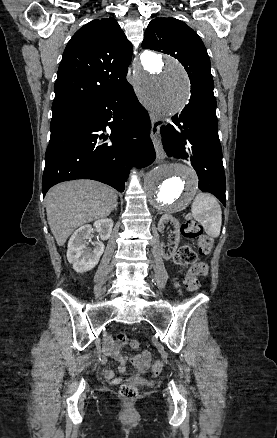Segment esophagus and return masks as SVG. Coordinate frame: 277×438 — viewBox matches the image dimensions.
<instances>
[{"label":"esophagus","mask_w":277,"mask_h":438,"mask_svg":"<svg viewBox=\"0 0 277 438\" xmlns=\"http://www.w3.org/2000/svg\"><path fill=\"white\" fill-rule=\"evenodd\" d=\"M133 66L136 68L141 67L140 65V61L138 58H136L133 62ZM151 118V139L152 142L154 144L157 156L159 158H164L165 154L163 151V147H162V143H161V138H160V127H161V119L156 117L155 115H150Z\"/></svg>","instance_id":"34e87169"}]
</instances>
